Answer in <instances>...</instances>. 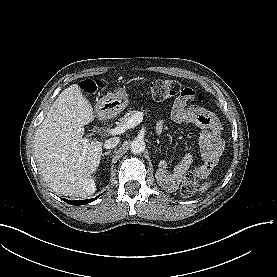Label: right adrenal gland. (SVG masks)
Returning <instances> with one entry per match:
<instances>
[{
	"mask_svg": "<svg viewBox=\"0 0 277 277\" xmlns=\"http://www.w3.org/2000/svg\"><path fill=\"white\" fill-rule=\"evenodd\" d=\"M110 154H111V150H109V151L103 153V154H102V159H104V156H108V155H110Z\"/></svg>",
	"mask_w": 277,
	"mask_h": 277,
	"instance_id": "right-adrenal-gland-1",
	"label": "right adrenal gland"
}]
</instances>
